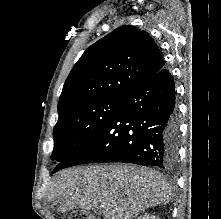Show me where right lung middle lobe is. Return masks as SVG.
<instances>
[{
  "label": "right lung middle lobe",
  "mask_w": 221,
  "mask_h": 219,
  "mask_svg": "<svg viewBox=\"0 0 221 219\" xmlns=\"http://www.w3.org/2000/svg\"><path fill=\"white\" fill-rule=\"evenodd\" d=\"M121 99H96L62 113L53 129L51 160L61 163L86 146L110 119Z\"/></svg>",
  "instance_id": "dd1d6c3e"
}]
</instances>
